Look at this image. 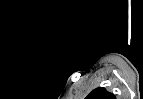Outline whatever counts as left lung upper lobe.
Wrapping results in <instances>:
<instances>
[{
    "mask_svg": "<svg viewBox=\"0 0 143 99\" xmlns=\"http://www.w3.org/2000/svg\"><path fill=\"white\" fill-rule=\"evenodd\" d=\"M85 99H116V97L105 88L99 87L94 89Z\"/></svg>",
    "mask_w": 143,
    "mask_h": 99,
    "instance_id": "obj_1",
    "label": "left lung upper lobe"
}]
</instances>
